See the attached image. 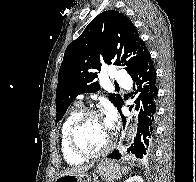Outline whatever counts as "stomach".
<instances>
[{
    "mask_svg": "<svg viewBox=\"0 0 196 182\" xmlns=\"http://www.w3.org/2000/svg\"><path fill=\"white\" fill-rule=\"evenodd\" d=\"M96 173L106 182L120 179L121 171L117 164L112 161L102 160L96 166ZM55 182H91L89 175H62Z\"/></svg>",
    "mask_w": 196,
    "mask_h": 182,
    "instance_id": "1",
    "label": "stomach"
}]
</instances>
